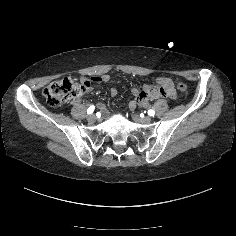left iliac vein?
Here are the masks:
<instances>
[{
  "mask_svg": "<svg viewBox=\"0 0 236 236\" xmlns=\"http://www.w3.org/2000/svg\"><path fill=\"white\" fill-rule=\"evenodd\" d=\"M132 118L136 122H144V123H150L151 122V117L150 116H145V117H140L138 114L133 113Z\"/></svg>",
  "mask_w": 236,
  "mask_h": 236,
  "instance_id": "4c4485c4",
  "label": "left iliac vein"
}]
</instances>
